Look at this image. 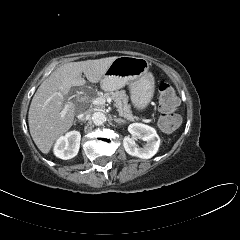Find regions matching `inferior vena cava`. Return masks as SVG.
Instances as JSON below:
<instances>
[{"instance_id": "602c4592", "label": "inferior vena cava", "mask_w": 240, "mask_h": 240, "mask_svg": "<svg viewBox=\"0 0 240 240\" xmlns=\"http://www.w3.org/2000/svg\"><path fill=\"white\" fill-rule=\"evenodd\" d=\"M90 116V111L86 110L84 112L79 113L78 117L81 119H86Z\"/></svg>"}]
</instances>
